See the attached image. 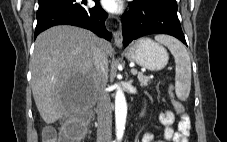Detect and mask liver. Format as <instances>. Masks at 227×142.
I'll list each match as a JSON object with an SVG mask.
<instances>
[{
  "mask_svg": "<svg viewBox=\"0 0 227 142\" xmlns=\"http://www.w3.org/2000/svg\"><path fill=\"white\" fill-rule=\"evenodd\" d=\"M111 45L92 32L55 26L38 35L31 58V87L42 119L51 124L72 111L71 97L82 83L94 85L93 52Z\"/></svg>",
  "mask_w": 227,
  "mask_h": 142,
  "instance_id": "liver-1",
  "label": "liver"
}]
</instances>
